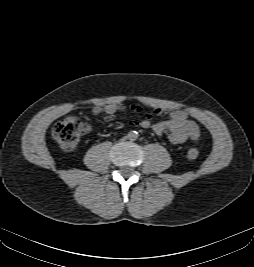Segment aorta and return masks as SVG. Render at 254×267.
Here are the masks:
<instances>
[{
	"mask_svg": "<svg viewBox=\"0 0 254 267\" xmlns=\"http://www.w3.org/2000/svg\"><path fill=\"white\" fill-rule=\"evenodd\" d=\"M127 137L129 140L135 141L138 138V133L136 131H130Z\"/></svg>",
	"mask_w": 254,
	"mask_h": 267,
	"instance_id": "obj_1",
	"label": "aorta"
}]
</instances>
